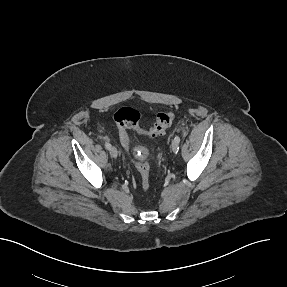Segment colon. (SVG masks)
Listing matches in <instances>:
<instances>
[{
    "instance_id": "5ec220e1",
    "label": "colon",
    "mask_w": 287,
    "mask_h": 287,
    "mask_svg": "<svg viewBox=\"0 0 287 287\" xmlns=\"http://www.w3.org/2000/svg\"><path fill=\"white\" fill-rule=\"evenodd\" d=\"M174 120V114L170 111L159 112L155 122L149 128L141 126L140 113L131 107H121L114 114V121L118 128L122 145L130 151L131 141L128 131H134L139 135L147 137H157L165 133ZM134 165L140 174V185L147 190L150 187V168L144 160H134Z\"/></svg>"
}]
</instances>
